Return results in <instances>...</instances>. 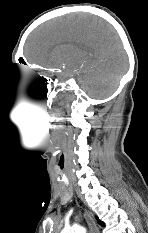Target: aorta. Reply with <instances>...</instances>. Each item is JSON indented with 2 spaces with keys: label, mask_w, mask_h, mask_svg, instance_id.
Instances as JSON below:
<instances>
[{
  "label": "aorta",
  "mask_w": 148,
  "mask_h": 233,
  "mask_svg": "<svg viewBox=\"0 0 148 233\" xmlns=\"http://www.w3.org/2000/svg\"><path fill=\"white\" fill-rule=\"evenodd\" d=\"M61 233H86V229L80 225H74L69 228H65Z\"/></svg>",
  "instance_id": "obj_1"
}]
</instances>
